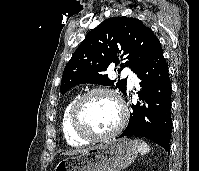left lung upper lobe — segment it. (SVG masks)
I'll list each match as a JSON object with an SVG mask.
<instances>
[{
  "label": "left lung upper lobe",
  "instance_id": "obj_1",
  "mask_svg": "<svg viewBox=\"0 0 199 171\" xmlns=\"http://www.w3.org/2000/svg\"><path fill=\"white\" fill-rule=\"evenodd\" d=\"M153 31L142 21L129 17L108 18L83 40L67 63L60 87L64 95L72 87L93 83L113 85L105 74L110 63L120 60L121 70L130 67L135 72L158 43ZM116 88L126 94V80H118Z\"/></svg>",
  "mask_w": 199,
  "mask_h": 171
}]
</instances>
